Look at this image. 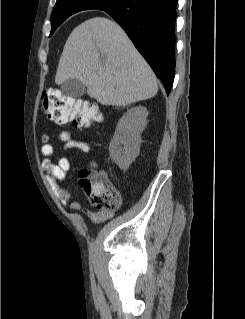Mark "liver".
I'll return each mask as SVG.
<instances>
[{"mask_svg":"<svg viewBox=\"0 0 245 319\" xmlns=\"http://www.w3.org/2000/svg\"><path fill=\"white\" fill-rule=\"evenodd\" d=\"M76 78L102 105L126 106L158 92L157 78L124 30L106 17H93L69 35L55 83Z\"/></svg>","mask_w":245,"mask_h":319,"instance_id":"obj_1","label":"liver"}]
</instances>
